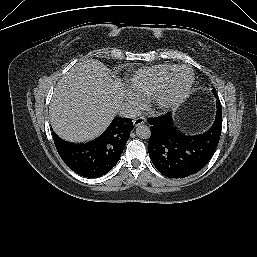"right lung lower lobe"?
I'll use <instances>...</instances> for the list:
<instances>
[{
  "label": "right lung lower lobe",
  "mask_w": 257,
  "mask_h": 257,
  "mask_svg": "<svg viewBox=\"0 0 257 257\" xmlns=\"http://www.w3.org/2000/svg\"><path fill=\"white\" fill-rule=\"evenodd\" d=\"M133 129L132 119L116 117L96 139L84 144L67 143L53 131L55 147L65 164L83 177H101L118 162Z\"/></svg>",
  "instance_id": "98d812e1"
}]
</instances>
